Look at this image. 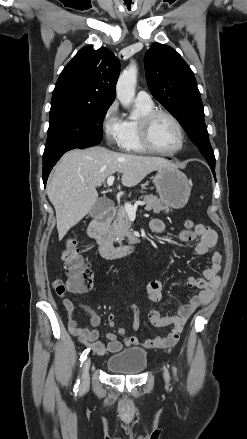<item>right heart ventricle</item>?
I'll return each mask as SVG.
<instances>
[{
    "label": "right heart ventricle",
    "mask_w": 247,
    "mask_h": 439,
    "mask_svg": "<svg viewBox=\"0 0 247 439\" xmlns=\"http://www.w3.org/2000/svg\"><path fill=\"white\" fill-rule=\"evenodd\" d=\"M137 111L136 118H128L124 120V134L120 144V148L124 151L143 153L146 152L139 139V120L140 118L154 110V105L136 102Z\"/></svg>",
    "instance_id": "right-heart-ventricle-1"
}]
</instances>
